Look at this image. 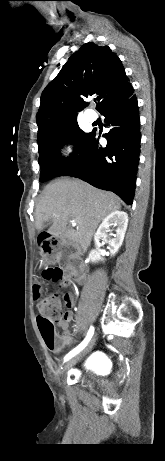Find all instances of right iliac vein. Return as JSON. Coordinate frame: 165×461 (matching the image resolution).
<instances>
[{"mask_svg": "<svg viewBox=\"0 0 165 461\" xmlns=\"http://www.w3.org/2000/svg\"><path fill=\"white\" fill-rule=\"evenodd\" d=\"M96 342V337L93 336L91 340L88 342V344L75 356H73L70 360H68L64 366V371L69 370L71 367H73L81 358H83L86 354H88L92 348L94 347Z\"/></svg>", "mask_w": 165, "mask_h": 461, "instance_id": "obj_1", "label": "right iliac vein"}]
</instances>
